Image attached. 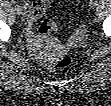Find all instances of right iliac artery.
Segmentation results:
<instances>
[{
	"instance_id": "right-iliac-artery-1",
	"label": "right iliac artery",
	"mask_w": 111,
	"mask_h": 106,
	"mask_svg": "<svg viewBox=\"0 0 111 106\" xmlns=\"http://www.w3.org/2000/svg\"><path fill=\"white\" fill-rule=\"evenodd\" d=\"M12 4H13V5H16V4H17V2L13 0V1H12ZM16 6H17V5H16Z\"/></svg>"
}]
</instances>
